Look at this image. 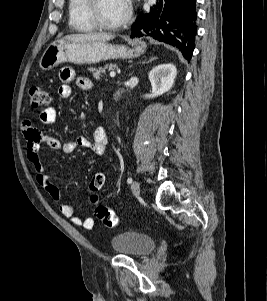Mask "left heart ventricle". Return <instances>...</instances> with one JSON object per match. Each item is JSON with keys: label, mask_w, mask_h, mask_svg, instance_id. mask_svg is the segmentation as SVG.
Returning <instances> with one entry per match:
<instances>
[{"label": "left heart ventricle", "mask_w": 267, "mask_h": 301, "mask_svg": "<svg viewBox=\"0 0 267 301\" xmlns=\"http://www.w3.org/2000/svg\"><path fill=\"white\" fill-rule=\"evenodd\" d=\"M126 11V0H101L99 15L108 24H115L121 21Z\"/></svg>", "instance_id": "obj_1"}]
</instances>
